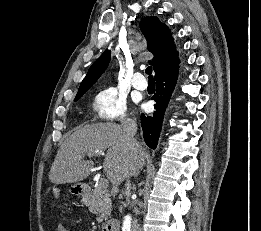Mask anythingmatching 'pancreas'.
<instances>
[{
    "mask_svg": "<svg viewBox=\"0 0 261 231\" xmlns=\"http://www.w3.org/2000/svg\"><path fill=\"white\" fill-rule=\"evenodd\" d=\"M89 211L97 215V222L101 223L111 216L112 201L109 191L100 186L94 188L93 193L86 198Z\"/></svg>",
    "mask_w": 261,
    "mask_h": 231,
    "instance_id": "obj_1",
    "label": "pancreas"
}]
</instances>
